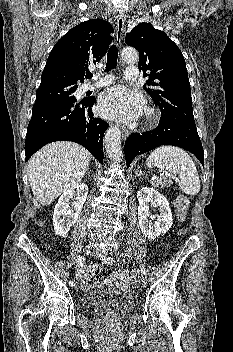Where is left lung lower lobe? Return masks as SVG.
<instances>
[{"instance_id":"obj_1","label":"left lung lower lobe","mask_w":233,"mask_h":352,"mask_svg":"<svg viewBox=\"0 0 233 352\" xmlns=\"http://www.w3.org/2000/svg\"><path fill=\"white\" fill-rule=\"evenodd\" d=\"M162 145H173L194 154L204 167L202 144L194 121L161 114L158 127L142 134H131L124 146L127 167L133 158Z\"/></svg>"}]
</instances>
